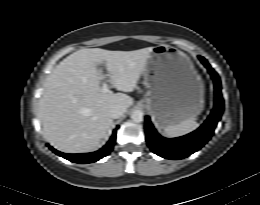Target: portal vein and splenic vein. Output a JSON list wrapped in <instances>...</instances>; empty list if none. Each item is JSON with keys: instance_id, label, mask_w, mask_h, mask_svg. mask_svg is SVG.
Here are the masks:
<instances>
[{"instance_id": "1", "label": "portal vein and splenic vein", "mask_w": 260, "mask_h": 205, "mask_svg": "<svg viewBox=\"0 0 260 205\" xmlns=\"http://www.w3.org/2000/svg\"><path fill=\"white\" fill-rule=\"evenodd\" d=\"M102 77L105 78L103 75H102ZM102 92L103 93L109 92V85H108L107 81L103 82Z\"/></svg>"}]
</instances>
